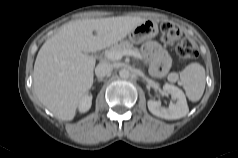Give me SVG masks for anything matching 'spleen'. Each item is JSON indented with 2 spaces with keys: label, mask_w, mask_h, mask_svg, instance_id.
Returning a JSON list of instances; mask_svg holds the SVG:
<instances>
[{
  "label": "spleen",
  "mask_w": 238,
  "mask_h": 158,
  "mask_svg": "<svg viewBox=\"0 0 238 158\" xmlns=\"http://www.w3.org/2000/svg\"><path fill=\"white\" fill-rule=\"evenodd\" d=\"M181 84L189 100L199 101L205 89V69L200 63H191L180 72Z\"/></svg>",
  "instance_id": "3e777b00"
}]
</instances>
